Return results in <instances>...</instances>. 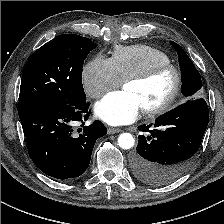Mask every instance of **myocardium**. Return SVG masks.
Wrapping results in <instances>:
<instances>
[{"instance_id":"myocardium-1","label":"myocardium","mask_w":224,"mask_h":224,"mask_svg":"<svg viewBox=\"0 0 224 224\" xmlns=\"http://www.w3.org/2000/svg\"><path fill=\"white\" fill-rule=\"evenodd\" d=\"M166 71L171 72L174 78L172 90L161 103L155 106L144 108L143 113L146 115H157L164 113L169 110L176 102L180 95L183 83V75L181 70L172 63L156 64L152 65L141 73L130 76L124 81V85L127 83L147 82Z\"/></svg>"}]
</instances>
